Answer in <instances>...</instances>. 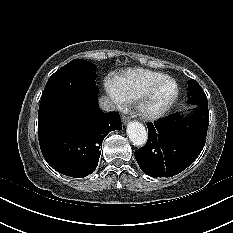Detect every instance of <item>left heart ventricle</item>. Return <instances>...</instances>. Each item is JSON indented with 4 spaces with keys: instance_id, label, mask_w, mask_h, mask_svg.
<instances>
[{
    "instance_id": "left-heart-ventricle-1",
    "label": "left heart ventricle",
    "mask_w": 233,
    "mask_h": 233,
    "mask_svg": "<svg viewBox=\"0 0 233 233\" xmlns=\"http://www.w3.org/2000/svg\"><path fill=\"white\" fill-rule=\"evenodd\" d=\"M173 92H174V87L171 83H165L161 85L153 95L152 99L150 100L148 107L150 109H155L161 106L171 97Z\"/></svg>"
}]
</instances>
